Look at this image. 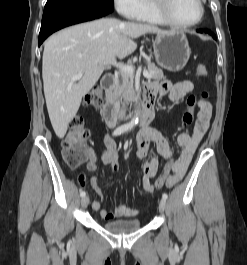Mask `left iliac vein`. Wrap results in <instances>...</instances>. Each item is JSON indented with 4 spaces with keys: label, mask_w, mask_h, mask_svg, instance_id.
<instances>
[{
    "label": "left iliac vein",
    "mask_w": 247,
    "mask_h": 265,
    "mask_svg": "<svg viewBox=\"0 0 247 265\" xmlns=\"http://www.w3.org/2000/svg\"><path fill=\"white\" fill-rule=\"evenodd\" d=\"M166 206H167L166 199L162 198L160 200V203H159V210H160V212L163 213L165 211V209H166Z\"/></svg>",
    "instance_id": "1"
}]
</instances>
